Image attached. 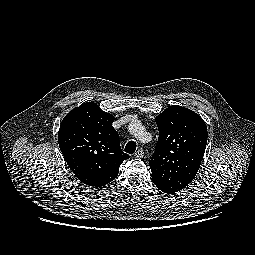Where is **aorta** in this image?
I'll return each instance as SVG.
<instances>
[{
    "instance_id": "obj_1",
    "label": "aorta",
    "mask_w": 255,
    "mask_h": 255,
    "mask_svg": "<svg viewBox=\"0 0 255 255\" xmlns=\"http://www.w3.org/2000/svg\"><path fill=\"white\" fill-rule=\"evenodd\" d=\"M142 129V124L140 121H134L129 124V131L132 134H137Z\"/></svg>"
}]
</instances>
